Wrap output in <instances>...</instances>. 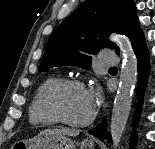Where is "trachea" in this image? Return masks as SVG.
Here are the masks:
<instances>
[{
  "mask_svg": "<svg viewBox=\"0 0 155 149\" xmlns=\"http://www.w3.org/2000/svg\"><path fill=\"white\" fill-rule=\"evenodd\" d=\"M110 69H117L116 67H112V68H110Z\"/></svg>",
  "mask_w": 155,
  "mask_h": 149,
  "instance_id": "trachea-1",
  "label": "trachea"
}]
</instances>
